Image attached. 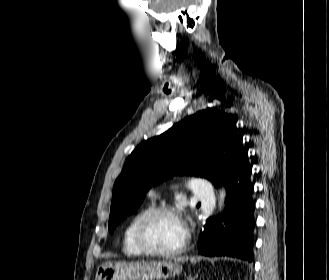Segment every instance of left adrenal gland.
<instances>
[{
	"mask_svg": "<svg viewBox=\"0 0 329 280\" xmlns=\"http://www.w3.org/2000/svg\"><path fill=\"white\" fill-rule=\"evenodd\" d=\"M196 277H197V275L196 276H194V277H192L191 276V274L187 277V280H195L196 279Z\"/></svg>",
	"mask_w": 329,
	"mask_h": 280,
	"instance_id": "left-adrenal-gland-1",
	"label": "left adrenal gland"
}]
</instances>
